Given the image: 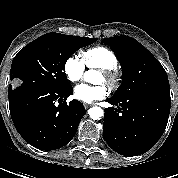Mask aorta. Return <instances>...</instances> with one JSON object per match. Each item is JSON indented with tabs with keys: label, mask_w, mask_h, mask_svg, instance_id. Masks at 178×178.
Returning a JSON list of instances; mask_svg holds the SVG:
<instances>
[{
	"label": "aorta",
	"mask_w": 178,
	"mask_h": 178,
	"mask_svg": "<svg viewBox=\"0 0 178 178\" xmlns=\"http://www.w3.org/2000/svg\"><path fill=\"white\" fill-rule=\"evenodd\" d=\"M94 73V70H89L84 74V80L89 82L91 80V76ZM89 116L93 120H99L104 115V111L100 107H92L88 110Z\"/></svg>",
	"instance_id": "obj_1"
}]
</instances>
